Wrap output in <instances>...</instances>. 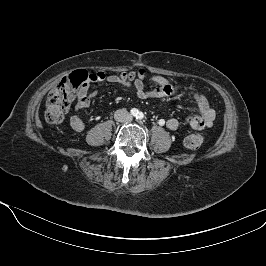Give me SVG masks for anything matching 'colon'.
<instances>
[{"instance_id":"obj_1","label":"colon","mask_w":266,"mask_h":266,"mask_svg":"<svg viewBox=\"0 0 266 266\" xmlns=\"http://www.w3.org/2000/svg\"><path fill=\"white\" fill-rule=\"evenodd\" d=\"M138 77L144 78L146 73L140 71ZM136 77L135 73H124V81H132ZM92 81V74L87 71L78 70L64 77L61 82L54 87L46 101L45 119L49 124H60L64 120L65 113L76 98L80 88ZM203 135L201 133H192L185 138V146L191 150H198L203 144Z\"/></svg>"}]
</instances>
